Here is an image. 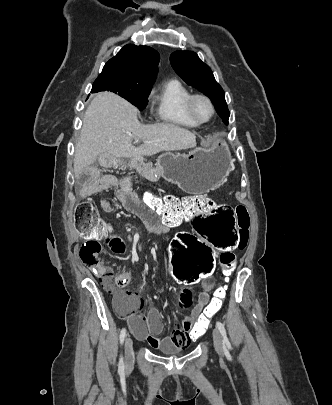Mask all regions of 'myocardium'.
I'll return each instance as SVG.
<instances>
[{"label": "myocardium", "instance_id": "myocardium-1", "mask_svg": "<svg viewBox=\"0 0 332 405\" xmlns=\"http://www.w3.org/2000/svg\"><path fill=\"white\" fill-rule=\"evenodd\" d=\"M197 99H202L209 104V106L211 108V114H210L209 118H207L205 120H201L195 115L194 109H193V104H194L195 100H197ZM184 107H185V112H186L187 116L199 125L208 123L209 121L212 120V118L215 115V105H214L212 99L202 93L190 94V96L185 101Z\"/></svg>", "mask_w": 332, "mask_h": 405}]
</instances>
